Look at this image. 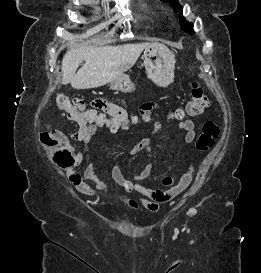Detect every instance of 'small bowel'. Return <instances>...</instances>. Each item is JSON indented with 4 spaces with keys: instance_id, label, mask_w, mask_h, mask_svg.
I'll return each instance as SVG.
<instances>
[{
    "instance_id": "1",
    "label": "small bowel",
    "mask_w": 261,
    "mask_h": 273,
    "mask_svg": "<svg viewBox=\"0 0 261 273\" xmlns=\"http://www.w3.org/2000/svg\"><path fill=\"white\" fill-rule=\"evenodd\" d=\"M93 107L97 110L102 111L103 113L111 116L116 120L118 127L115 129L110 128L111 132H117L122 126H125L129 117L127 112L117 106L114 103L108 102L106 100L97 99L92 103ZM158 108L154 103H147L142 105L141 112H148L151 114V111ZM67 118L76 122L79 125V129L75 132L69 134V137L74 141L82 143V148L77 149L72 147L73 153L75 155V163L72 167L67 168V175L70 182L75 186V188L82 194L87 196H94L96 190L100 192H108L110 190L109 186L97 176V172L100 168L93 162H89L84 170L83 176L78 174L74 168L80 166L87 158H89L90 150L89 144L92 139L98 138L99 126L96 124H91L85 122L83 119L74 116L69 113L66 114ZM177 128L185 131L184 140L186 143H192L195 140L196 133L194 123L188 119H178ZM161 129V124L158 121H153V131L154 133L158 132ZM142 150L148 152V157L145 160L146 164L144 168L136 173L133 177V180L128 179L123 174L120 166L115 164L111 166L108 170L111 172L112 178L115 183L121 186L127 193H137L140 196L137 199H127L124 196L120 197V200L128 205L131 208H137L141 206L146 210L155 212L159 209V203L168 202L172 200L179 193H172L170 190L162 191L158 189H152L142 185L140 182L149 178H155L158 175L154 172L153 166L149 163L151 157V145L150 139L144 138L135 144L131 149H129L126 154L128 156H133ZM193 166L191 165L188 170L182 174L180 177L181 180L188 179L189 184L192 180ZM86 180L94 183V188L86 183Z\"/></svg>"
}]
</instances>
